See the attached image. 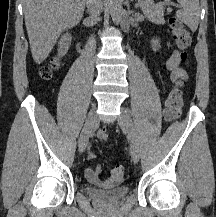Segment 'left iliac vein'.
I'll use <instances>...</instances> for the list:
<instances>
[{"instance_id": "1", "label": "left iliac vein", "mask_w": 216, "mask_h": 217, "mask_svg": "<svg viewBox=\"0 0 216 217\" xmlns=\"http://www.w3.org/2000/svg\"><path fill=\"white\" fill-rule=\"evenodd\" d=\"M118 124L131 140L130 154L132 160L137 163L140 158V145L130 113L124 107L121 108V114L118 118Z\"/></svg>"}]
</instances>
